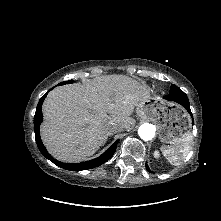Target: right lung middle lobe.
<instances>
[{"instance_id":"right-lung-middle-lobe-1","label":"right lung middle lobe","mask_w":221,"mask_h":221,"mask_svg":"<svg viewBox=\"0 0 221 221\" xmlns=\"http://www.w3.org/2000/svg\"><path fill=\"white\" fill-rule=\"evenodd\" d=\"M70 83H73V80L61 82L58 85H64V84H70Z\"/></svg>"}]
</instances>
